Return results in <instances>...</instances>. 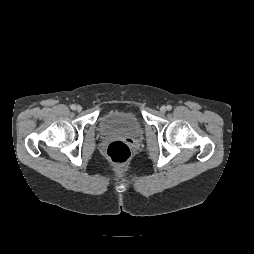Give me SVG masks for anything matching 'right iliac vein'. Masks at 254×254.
<instances>
[{
    "label": "right iliac vein",
    "mask_w": 254,
    "mask_h": 254,
    "mask_svg": "<svg viewBox=\"0 0 254 254\" xmlns=\"http://www.w3.org/2000/svg\"><path fill=\"white\" fill-rule=\"evenodd\" d=\"M76 110L77 111H81L82 110V107L80 105L76 106Z\"/></svg>",
    "instance_id": "obj_1"
}]
</instances>
